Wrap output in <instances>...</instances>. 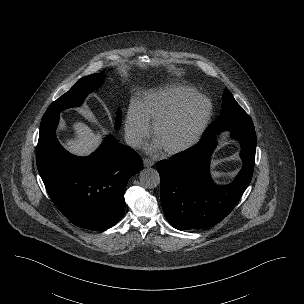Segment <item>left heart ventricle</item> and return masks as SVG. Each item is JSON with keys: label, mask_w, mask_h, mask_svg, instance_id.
Segmentation results:
<instances>
[{"label": "left heart ventricle", "mask_w": 304, "mask_h": 304, "mask_svg": "<svg viewBox=\"0 0 304 304\" xmlns=\"http://www.w3.org/2000/svg\"><path fill=\"white\" fill-rule=\"evenodd\" d=\"M205 111L203 103H194L181 115L164 124L156 141L164 148L179 145L188 140L197 129Z\"/></svg>", "instance_id": "b2bd125f"}]
</instances>
